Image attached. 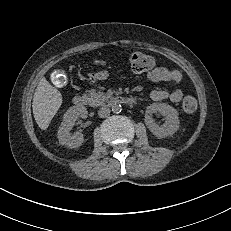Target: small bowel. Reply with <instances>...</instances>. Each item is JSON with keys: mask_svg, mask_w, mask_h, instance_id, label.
Masks as SVG:
<instances>
[{"mask_svg": "<svg viewBox=\"0 0 231 231\" xmlns=\"http://www.w3.org/2000/svg\"><path fill=\"white\" fill-rule=\"evenodd\" d=\"M109 72L100 70L94 73L87 74V79L90 82L105 80L109 77ZM148 79L153 83H179L182 79V74L178 70H171L166 67H155L147 74ZM149 97L154 101L169 100L173 103H178L183 98V92L179 89L172 91L167 90H153L150 92Z\"/></svg>", "mask_w": 231, "mask_h": 231, "instance_id": "1", "label": "small bowel"}]
</instances>
